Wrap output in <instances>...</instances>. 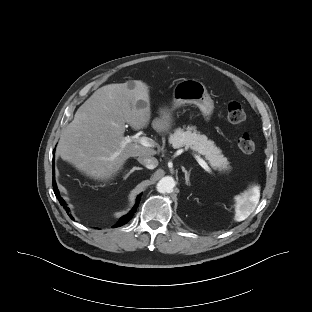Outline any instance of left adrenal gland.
<instances>
[{
    "label": "left adrenal gland",
    "instance_id": "1",
    "mask_svg": "<svg viewBox=\"0 0 312 312\" xmlns=\"http://www.w3.org/2000/svg\"><path fill=\"white\" fill-rule=\"evenodd\" d=\"M182 171L185 173V181L186 184H189V176H190V171L188 172L184 167H182Z\"/></svg>",
    "mask_w": 312,
    "mask_h": 312
}]
</instances>
